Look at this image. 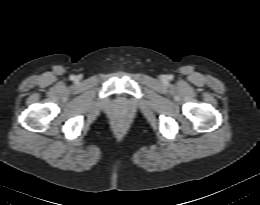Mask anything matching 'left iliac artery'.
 <instances>
[{
    "instance_id": "44dca946",
    "label": "left iliac artery",
    "mask_w": 260,
    "mask_h": 205,
    "mask_svg": "<svg viewBox=\"0 0 260 205\" xmlns=\"http://www.w3.org/2000/svg\"><path fill=\"white\" fill-rule=\"evenodd\" d=\"M168 79H169V80H172V79H173V75H169V76H168Z\"/></svg>"
}]
</instances>
